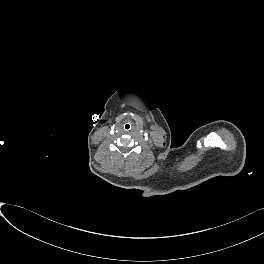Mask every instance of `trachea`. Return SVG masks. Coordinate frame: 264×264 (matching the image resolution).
<instances>
[{"mask_svg":"<svg viewBox=\"0 0 264 264\" xmlns=\"http://www.w3.org/2000/svg\"><path fill=\"white\" fill-rule=\"evenodd\" d=\"M123 129H124V131H126V132L130 131V130L132 129V124H131L130 122H125V123L123 124Z\"/></svg>","mask_w":264,"mask_h":264,"instance_id":"obj_1","label":"trachea"}]
</instances>
